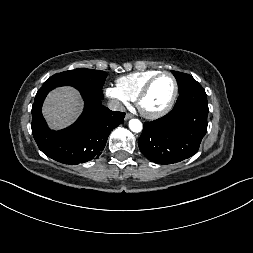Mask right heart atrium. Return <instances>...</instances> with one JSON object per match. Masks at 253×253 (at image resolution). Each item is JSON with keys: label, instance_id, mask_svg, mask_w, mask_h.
<instances>
[{"label": "right heart atrium", "instance_id": "obj_1", "mask_svg": "<svg viewBox=\"0 0 253 253\" xmlns=\"http://www.w3.org/2000/svg\"><path fill=\"white\" fill-rule=\"evenodd\" d=\"M106 97L113 100L118 107H124L129 104V100L118 90L116 86H107L104 89Z\"/></svg>", "mask_w": 253, "mask_h": 253}]
</instances>
